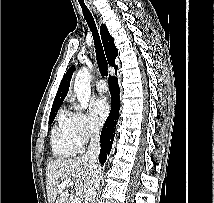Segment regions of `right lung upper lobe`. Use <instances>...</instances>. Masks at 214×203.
Wrapping results in <instances>:
<instances>
[{"label": "right lung upper lobe", "mask_w": 214, "mask_h": 203, "mask_svg": "<svg viewBox=\"0 0 214 203\" xmlns=\"http://www.w3.org/2000/svg\"><path fill=\"white\" fill-rule=\"evenodd\" d=\"M100 33H101V38H102L105 54L107 57V61L111 66H113L115 69H117V66L115 65V58L118 54V50L114 45V39L109 34V31L104 24H102L100 27ZM74 70H75V66L72 65L71 68L64 75V77L60 83L59 89L57 91V94L55 96L50 116L57 114L58 109L60 108L64 98L66 97L68 90H69L70 80H71Z\"/></svg>", "instance_id": "cb5924a9"}]
</instances>
